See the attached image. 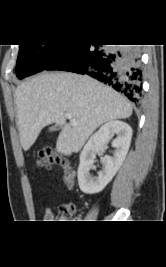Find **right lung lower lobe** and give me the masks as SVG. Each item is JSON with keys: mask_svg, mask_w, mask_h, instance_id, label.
I'll list each match as a JSON object with an SVG mask.
<instances>
[{"mask_svg": "<svg viewBox=\"0 0 166 267\" xmlns=\"http://www.w3.org/2000/svg\"><path fill=\"white\" fill-rule=\"evenodd\" d=\"M44 70H63L87 74L140 101L142 70L136 48L107 49L100 45H67Z\"/></svg>", "mask_w": 166, "mask_h": 267, "instance_id": "right-lung-lower-lobe-1", "label": "right lung lower lobe"}]
</instances>
